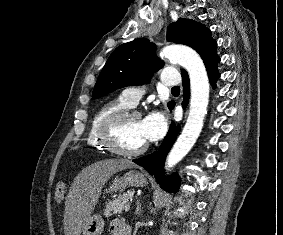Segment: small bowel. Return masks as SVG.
Instances as JSON below:
<instances>
[{
  "mask_svg": "<svg viewBox=\"0 0 283 235\" xmlns=\"http://www.w3.org/2000/svg\"><path fill=\"white\" fill-rule=\"evenodd\" d=\"M118 224H121L119 221H113L110 225V231L114 235H118Z\"/></svg>",
  "mask_w": 283,
  "mask_h": 235,
  "instance_id": "small-bowel-1",
  "label": "small bowel"
}]
</instances>
